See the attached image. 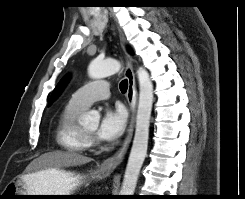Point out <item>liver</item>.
Masks as SVG:
<instances>
[{"instance_id": "1", "label": "liver", "mask_w": 245, "mask_h": 199, "mask_svg": "<svg viewBox=\"0 0 245 199\" xmlns=\"http://www.w3.org/2000/svg\"><path fill=\"white\" fill-rule=\"evenodd\" d=\"M92 159L76 152L53 151L41 155L35 163V172L28 175H33L44 169L64 168L78 166L90 162ZM26 175V176H28Z\"/></svg>"}]
</instances>
